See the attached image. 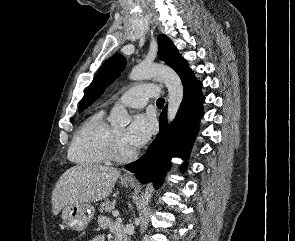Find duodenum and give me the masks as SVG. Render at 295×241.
<instances>
[{
	"label": "duodenum",
	"mask_w": 295,
	"mask_h": 241,
	"mask_svg": "<svg viewBox=\"0 0 295 241\" xmlns=\"http://www.w3.org/2000/svg\"><path fill=\"white\" fill-rule=\"evenodd\" d=\"M115 239H116V241H127L124 233L123 234H116Z\"/></svg>",
	"instance_id": "1"
}]
</instances>
